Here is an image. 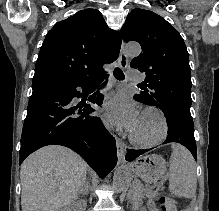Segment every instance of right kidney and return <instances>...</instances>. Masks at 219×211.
<instances>
[{"label": "right kidney", "mask_w": 219, "mask_h": 211, "mask_svg": "<svg viewBox=\"0 0 219 211\" xmlns=\"http://www.w3.org/2000/svg\"><path fill=\"white\" fill-rule=\"evenodd\" d=\"M70 207H71V205H70ZM70 207H69V209H67V211H71Z\"/></svg>", "instance_id": "ca27d5eb"}]
</instances>
